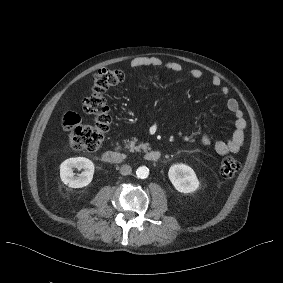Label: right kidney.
<instances>
[{
    "label": "right kidney",
    "instance_id": "ca27d5eb",
    "mask_svg": "<svg viewBox=\"0 0 283 283\" xmlns=\"http://www.w3.org/2000/svg\"><path fill=\"white\" fill-rule=\"evenodd\" d=\"M73 168L83 169V172L75 176ZM94 169L93 162L85 157L69 158L60 165V178L71 188H82L91 183Z\"/></svg>",
    "mask_w": 283,
    "mask_h": 283
}]
</instances>
